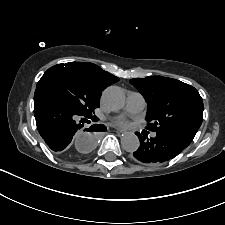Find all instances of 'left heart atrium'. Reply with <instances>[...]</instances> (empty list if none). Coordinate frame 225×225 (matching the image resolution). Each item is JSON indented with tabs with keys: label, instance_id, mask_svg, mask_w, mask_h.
Masks as SVG:
<instances>
[{
	"label": "left heart atrium",
	"instance_id": "1",
	"mask_svg": "<svg viewBox=\"0 0 225 225\" xmlns=\"http://www.w3.org/2000/svg\"><path fill=\"white\" fill-rule=\"evenodd\" d=\"M118 124L122 127H127L129 125V123L125 119L119 120Z\"/></svg>",
	"mask_w": 225,
	"mask_h": 225
}]
</instances>
